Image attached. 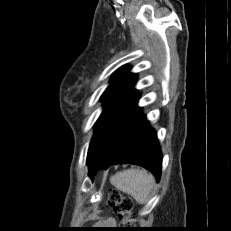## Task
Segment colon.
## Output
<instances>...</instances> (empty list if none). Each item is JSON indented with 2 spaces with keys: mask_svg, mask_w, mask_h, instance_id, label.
<instances>
[{
  "mask_svg": "<svg viewBox=\"0 0 231 231\" xmlns=\"http://www.w3.org/2000/svg\"><path fill=\"white\" fill-rule=\"evenodd\" d=\"M108 204L117 214L119 221L126 225L132 222L133 202L130 198L123 196L116 189H110L108 192Z\"/></svg>",
  "mask_w": 231,
  "mask_h": 231,
  "instance_id": "colon-1",
  "label": "colon"
}]
</instances>
